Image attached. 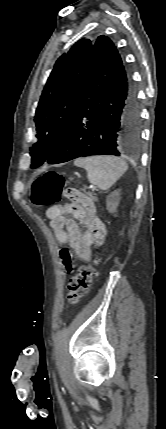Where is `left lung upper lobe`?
<instances>
[{
  "mask_svg": "<svg viewBox=\"0 0 166 429\" xmlns=\"http://www.w3.org/2000/svg\"><path fill=\"white\" fill-rule=\"evenodd\" d=\"M95 41L76 42L56 61L35 113L38 141L31 148V168L46 162L61 141L89 77Z\"/></svg>",
  "mask_w": 166,
  "mask_h": 429,
  "instance_id": "left-lung-upper-lobe-1",
  "label": "left lung upper lobe"
}]
</instances>
